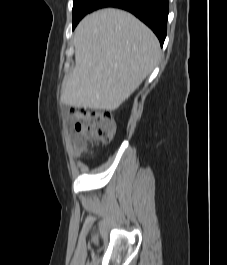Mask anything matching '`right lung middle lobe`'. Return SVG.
<instances>
[{
  "mask_svg": "<svg viewBox=\"0 0 227 265\" xmlns=\"http://www.w3.org/2000/svg\"><path fill=\"white\" fill-rule=\"evenodd\" d=\"M98 0H74L73 3V29L78 22L87 14L93 11Z\"/></svg>",
  "mask_w": 227,
  "mask_h": 265,
  "instance_id": "1",
  "label": "right lung middle lobe"
}]
</instances>
